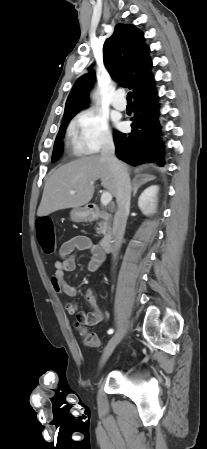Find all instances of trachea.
I'll return each instance as SVG.
<instances>
[{
	"label": "trachea",
	"instance_id": "1",
	"mask_svg": "<svg viewBox=\"0 0 207 449\" xmlns=\"http://www.w3.org/2000/svg\"><path fill=\"white\" fill-rule=\"evenodd\" d=\"M127 101H128V102H131V101H132V93H131V92H129V93L127 94Z\"/></svg>",
	"mask_w": 207,
	"mask_h": 449
}]
</instances>
